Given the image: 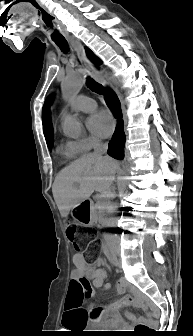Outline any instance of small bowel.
Instances as JSON below:
<instances>
[{
	"mask_svg": "<svg viewBox=\"0 0 193 336\" xmlns=\"http://www.w3.org/2000/svg\"><path fill=\"white\" fill-rule=\"evenodd\" d=\"M74 269L71 273L70 285L66 299V310L62 319V324L66 327L82 322L88 323H111L119 325L118 310L134 301L143 302V298L136 290H132L130 294L123 296L114 303L107 305L106 313L110 315L107 318L100 310H95L91 317L88 316V311L84 304V290L86 285L90 283L96 288H102L103 293L111 287L105 284L106 271L100 267V261L96 263H89L81 254L73 256ZM127 282L125 279H119L115 288L117 295L123 294L127 289Z\"/></svg>",
	"mask_w": 193,
	"mask_h": 336,
	"instance_id": "small-bowel-1",
	"label": "small bowel"
}]
</instances>
